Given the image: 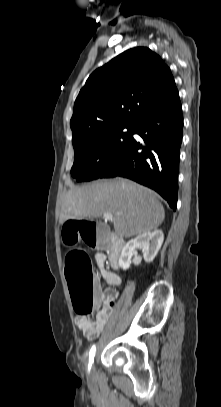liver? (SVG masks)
I'll use <instances>...</instances> for the list:
<instances>
[{"label":"liver","instance_id":"6515ba94","mask_svg":"<svg viewBox=\"0 0 221 407\" xmlns=\"http://www.w3.org/2000/svg\"><path fill=\"white\" fill-rule=\"evenodd\" d=\"M109 213L119 237L156 230L165 211L150 189L124 178L95 182L70 189L61 206L60 223L69 219L94 220Z\"/></svg>","mask_w":221,"mask_h":407}]
</instances>
